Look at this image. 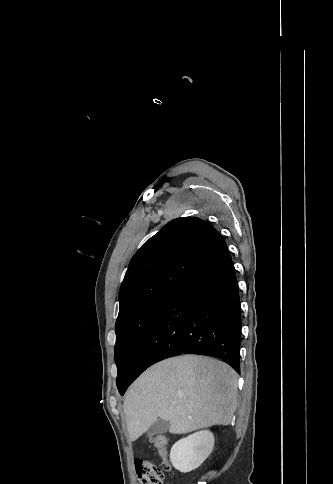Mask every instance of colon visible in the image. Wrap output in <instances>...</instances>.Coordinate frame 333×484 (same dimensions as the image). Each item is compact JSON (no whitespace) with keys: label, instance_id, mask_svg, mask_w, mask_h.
<instances>
[{"label":"colon","instance_id":"5ec220e1","mask_svg":"<svg viewBox=\"0 0 333 484\" xmlns=\"http://www.w3.org/2000/svg\"><path fill=\"white\" fill-rule=\"evenodd\" d=\"M151 444L160 452L164 461L161 467L149 462L141 460L138 476L141 484H164V472L171 469V465L167 459V438L164 435H155L150 439Z\"/></svg>","mask_w":333,"mask_h":484}]
</instances>
